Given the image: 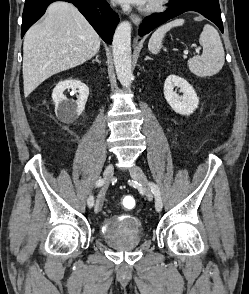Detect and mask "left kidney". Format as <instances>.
<instances>
[{"mask_svg": "<svg viewBox=\"0 0 249 294\" xmlns=\"http://www.w3.org/2000/svg\"><path fill=\"white\" fill-rule=\"evenodd\" d=\"M180 88L183 95H179L174 88ZM164 96L170 107L178 114L189 116L197 108L199 98L194 88L184 79L177 75H169L164 83Z\"/></svg>", "mask_w": 249, "mask_h": 294, "instance_id": "left-kidney-1", "label": "left kidney"}]
</instances>
